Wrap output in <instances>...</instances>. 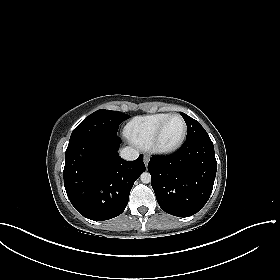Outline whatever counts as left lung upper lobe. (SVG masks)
Masks as SVG:
<instances>
[{
  "label": "left lung upper lobe",
  "instance_id": "obj_1",
  "mask_svg": "<svg viewBox=\"0 0 280 280\" xmlns=\"http://www.w3.org/2000/svg\"><path fill=\"white\" fill-rule=\"evenodd\" d=\"M182 117L184 118L187 124V136L186 139L193 138L196 136H208L207 132L204 128L193 118L189 117L188 115L180 112Z\"/></svg>",
  "mask_w": 280,
  "mask_h": 280
}]
</instances>
